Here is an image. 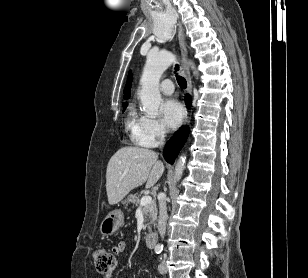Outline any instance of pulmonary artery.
Returning <instances> with one entry per match:
<instances>
[{"instance_id":"e3ab8cb5","label":"pulmonary artery","mask_w":308,"mask_h":278,"mask_svg":"<svg viewBox=\"0 0 308 278\" xmlns=\"http://www.w3.org/2000/svg\"><path fill=\"white\" fill-rule=\"evenodd\" d=\"M159 88H160V91L163 94L171 95L173 93V90H174V85H173L171 80L166 79V80L162 81Z\"/></svg>"}]
</instances>
